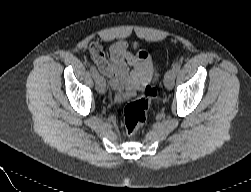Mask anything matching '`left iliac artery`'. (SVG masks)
<instances>
[{
  "instance_id": "left-iliac-artery-1",
  "label": "left iliac artery",
  "mask_w": 251,
  "mask_h": 192,
  "mask_svg": "<svg viewBox=\"0 0 251 192\" xmlns=\"http://www.w3.org/2000/svg\"><path fill=\"white\" fill-rule=\"evenodd\" d=\"M180 67H181V64L178 63V62H176V63L173 64L172 70H173L175 73H177V72H179Z\"/></svg>"
}]
</instances>
